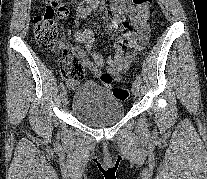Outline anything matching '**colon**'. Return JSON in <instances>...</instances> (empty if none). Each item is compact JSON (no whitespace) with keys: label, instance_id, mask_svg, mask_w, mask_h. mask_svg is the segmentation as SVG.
I'll use <instances>...</instances> for the list:
<instances>
[{"label":"colon","instance_id":"obj_1","mask_svg":"<svg viewBox=\"0 0 207 179\" xmlns=\"http://www.w3.org/2000/svg\"><path fill=\"white\" fill-rule=\"evenodd\" d=\"M133 3L137 6H145L150 3V0H133ZM60 5L61 0H45L42 11L36 14L33 19L34 35L42 48L48 49L54 42L56 26L53 17L60 9ZM61 75L67 82L73 84L79 83L84 77L83 65L71 50L67 49L63 53ZM101 81L109 83L112 78L104 75ZM113 93L123 101L130 96V90L126 87H117Z\"/></svg>","mask_w":207,"mask_h":179}]
</instances>
